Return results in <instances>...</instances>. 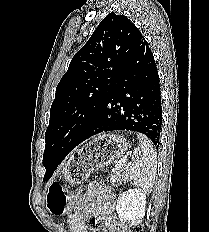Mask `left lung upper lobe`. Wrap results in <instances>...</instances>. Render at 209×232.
I'll return each mask as SVG.
<instances>
[{"label":"left lung upper lobe","instance_id":"1","mask_svg":"<svg viewBox=\"0 0 209 232\" xmlns=\"http://www.w3.org/2000/svg\"><path fill=\"white\" fill-rule=\"evenodd\" d=\"M138 28L124 15L109 13L72 58L56 87L45 133L44 181L76 147L80 136L116 86L131 58Z\"/></svg>","mask_w":209,"mask_h":232}]
</instances>
